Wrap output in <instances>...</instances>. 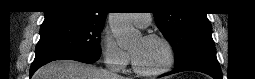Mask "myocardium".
<instances>
[{"instance_id":"obj_1","label":"myocardium","mask_w":255,"mask_h":79,"mask_svg":"<svg viewBox=\"0 0 255 79\" xmlns=\"http://www.w3.org/2000/svg\"><path fill=\"white\" fill-rule=\"evenodd\" d=\"M143 38L145 40H158V41L162 42L165 45L167 57H166L165 63L162 65V67H160L159 69H156V70L147 71V70L141 69L137 65L133 55L131 54V64H132V67H133V70L135 71V73H137L138 75H141V76L151 77V76H157V75L163 74L166 71H168L174 62V49H173V46L170 43V41L166 37H164L163 35H160V34H147Z\"/></svg>"}]
</instances>
